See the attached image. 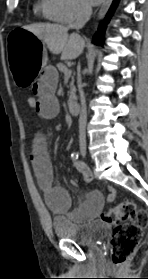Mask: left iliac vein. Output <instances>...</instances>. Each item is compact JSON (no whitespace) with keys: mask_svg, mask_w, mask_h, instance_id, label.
Segmentation results:
<instances>
[{"mask_svg":"<svg viewBox=\"0 0 148 279\" xmlns=\"http://www.w3.org/2000/svg\"><path fill=\"white\" fill-rule=\"evenodd\" d=\"M82 154L85 156L86 155V151H82Z\"/></svg>","mask_w":148,"mask_h":279,"instance_id":"obj_1","label":"left iliac vein"}]
</instances>
